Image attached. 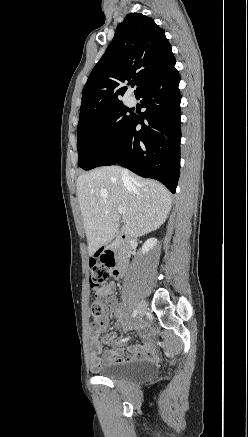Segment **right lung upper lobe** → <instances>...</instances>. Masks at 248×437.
Instances as JSON below:
<instances>
[{
	"mask_svg": "<svg viewBox=\"0 0 248 437\" xmlns=\"http://www.w3.org/2000/svg\"><path fill=\"white\" fill-rule=\"evenodd\" d=\"M172 56L164 30L153 19L140 13L127 15L84 86L78 126L122 103L124 82L135 80L137 93Z\"/></svg>",
	"mask_w": 248,
	"mask_h": 437,
	"instance_id": "1",
	"label": "right lung upper lobe"
}]
</instances>
